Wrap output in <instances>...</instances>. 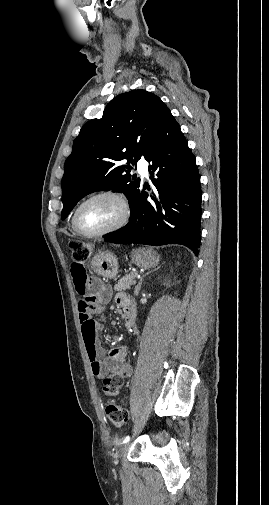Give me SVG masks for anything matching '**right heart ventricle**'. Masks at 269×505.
I'll list each match as a JSON object with an SVG mask.
<instances>
[{"label": "right heart ventricle", "mask_w": 269, "mask_h": 505, "mask_svg": "<svg viewBox=\"0 0 269 505\" xmlns=\"http://www.w3.org/2000/svg\"><path fill=\"white\" fill-rule=\"evenodd\" d=\"M71 228H72V230H73L75 233H78V232L76 231V229L74 228V225H73V215H72V217H71Z\"/></svg>", "instance_id": "right-heart-ventricle-1"}]
</instances>
